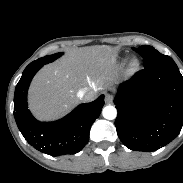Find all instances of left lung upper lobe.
<instances>
[{
  "mask_svg": "<svg viewBox=\"0 0 183 183\" xmlns=\"http://www.w3.org/2000/svg\"><path fill=\"white\" fill-rule=\"evenodd\" d=\"M133 50L143 57L144 68H153L174 62L171 57L161 54L154 47L149 45H143L138 49L133 48Z\"/></svg>",
  "mask_w": 183,
  "mask_h": 183,
  "instance_id": "5c2ea615",
  "label": "left lung upper lobe"
}]
</instances>
